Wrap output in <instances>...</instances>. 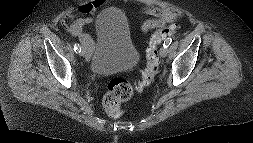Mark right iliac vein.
<instances>
[{"mask_svg":"<svg viewBox=\"0 0 253 143\" xmlns=\"http://www.w3.org/2000/svg\"><path fill=\"white\" fill-rule=\"evenodd\" d=\"M89 54H90L89 49L86 46L82 45V49H81L80 55L83 56V57H85V58H88Z\"/></svg>","mask_w":253,"mask_h":143,"instance_id":"63e3f726","label":"right iliac vein"}]
</instances>
